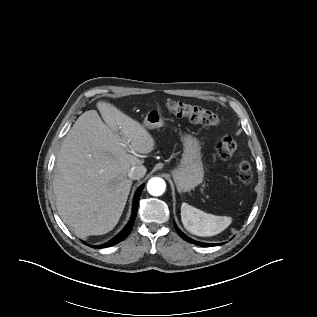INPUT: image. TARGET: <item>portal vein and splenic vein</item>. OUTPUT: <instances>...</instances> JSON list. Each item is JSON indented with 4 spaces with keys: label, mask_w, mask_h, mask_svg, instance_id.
<instances>
[{
    "label": "portal vein and splenic vein",
    "mask_w": 317,
    "mask_h": 317,
    "mask_svg": "<svg viewBox=\"0 0 317 317\" xmlns=\"http://www.w3.org/2000/svg\"><path fill=\"white\" fill-rule=\"evenodd\" d=\"M129 142H130V140L127 141V143H129ZM131 152L134 154V151H131Z\"/></svg>",
    "instance_id": "obj_1"
}]
</instances>
